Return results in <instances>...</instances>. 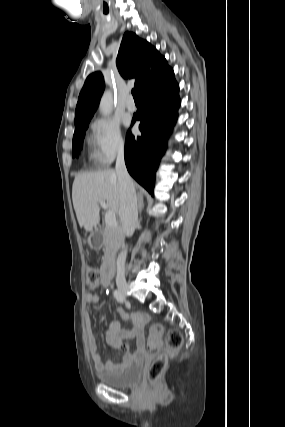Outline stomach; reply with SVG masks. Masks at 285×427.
I'll use <instances>...</instances> for the list:
<instances>
[{
	"mask_svg": "<svg viewBox=\"0 0 285 427\" xmlns=\"http://www.w3.org/2000/svg\"><path fill=\"white\" fill-rule=\"evenodd\" d=\"M93 235H94V234H93ZM93 235H91V236L88 238V242H89V244H90L92 247H98V246L101 244V242L96 243V242L92 239Z\"/></svg>",
	"mask_w": 285,
	"mask_h": 427,
	"instance_id": "0dacf381",
	"label": "stomach"
}]
</instances>
